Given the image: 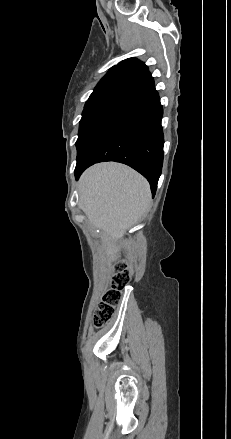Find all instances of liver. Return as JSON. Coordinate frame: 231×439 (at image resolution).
Instances as JSON below:
<instances>
[{"label":"liver","mask_w":231,"mask_h":439,"mask_svg":"<svg viewBox=\"0 0 231 439\" xmlns=\"http://www.w3.org/2000/svg\"><path fill=\"white\" fill-rule=\"evenodd\" d=\"M79 195L81 209L90 224L102 230L109 253L118 250L116 243L151 203L147 180L130 167L114 162L88 168L80 178Z\"/></svg>","instance_id":"1"}]
</instances>
